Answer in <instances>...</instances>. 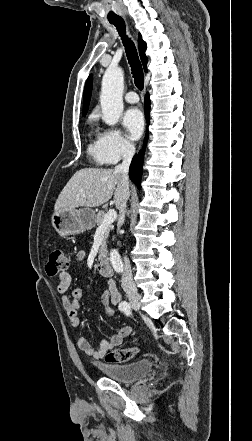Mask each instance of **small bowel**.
Returning <instances> with one entry per match:
<instances>
[{"label":"small bowel","mask_w":252,"mask_h":441,"mask_svg":"<svg viewBox=\"0 0 252 441\" xmlns=\"http://www.w3.org/2000/svg\"><path fill=\"white\" fill-rule=\"evenodd\" d=\"M86 257V251L80 250L76 253L74 263L77 264L84 260ZM71 285L70 268L62 271L58 276L57 290L61 294L67 293ZM82 290L75 288L70 295H64L62 297V306L67 314L71 326L77 328L80 325V319L78 317V309L80 306V300L82 298ZM121 301V294L117 289V286L113 280H108L106 283V289L101 296V302L103 305H118ZM132 328L130 326H123L119 328L109 340H101L97 346L92 345L86 338H79L77 344L78 347L84 351L87 355L94 359H103L105 355L116 347H119L124 340L131 334Z\"/></svg>","instance_id":"obj_1"}]
</instances>
